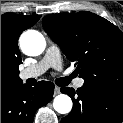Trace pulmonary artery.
<instances>
[{
	"instance_id": "pulmonary-artery-1",
	"label": "pulmonary artery",
	"mask_w": 123,
	"mask_h": 123,
	"mask_svg": "<svg viewBox=\"0 0 123 123\" xmlns=\"http://www.w3.org/2000/svg\"><path fill=\"white\" fill-rule=\"evenodd\" d=\"M49 68H54L56 70L62 69L60 50L54 44L50 45L47 48L43 58L38 63L24 69L20 73V76L22 79L37 77V76L43 74ZM83 84H84V80L81 78H78L75 81V86L77 88L82 87Z\"/></svg>"
}]
</instances>
